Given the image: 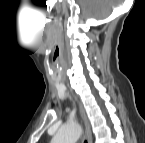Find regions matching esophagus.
<instances>
[{
  "mask_svg": "<svg viewBox=\"0 0 145 143\" xmlns=\"http://www.w3.org/2000/svg\"><path fill=\"white\" fill-rule=\"evenodd\" d=\"M74 97L79 104V111H80V115H81V118H82V121H83V124H84L85 138L87 139L88 143H92L91 127H90L88 118L86 116L85 110H84L82 104L78 101L77 97L75 95H74Z\"/></svg>",
  "mask_w": 145,
  "mask_h": 143,
  "instance_id": "obj_1",
  "label": "esophagus"
}]
</instances>
